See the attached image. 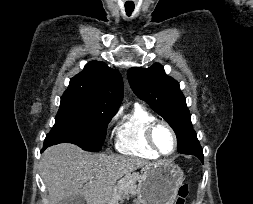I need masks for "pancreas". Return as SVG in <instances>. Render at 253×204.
Returning a JSON list of instances; mask_svg holds the SVG:
<instances>
[{"mask_svg": "<svg viewBox=\"0 0 253 204\" xmlns=\"http://www.w3.org/2000/svg\"><path fill=\"white\" fill-rule=\"evenodd\" d=\"M137 177L126 176L117 182L114 188V195L120 200L124 199L128 194L135 195L137 191ZM113 202V201H112ZM111 204H114L112 203Z\"/></svg>", "mask_w": 253, "mask_h": 204, "instance_id": "pancreas-1", "label": "pancreas"}]
</instances>
